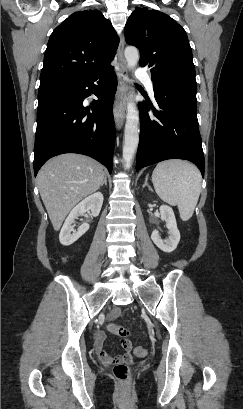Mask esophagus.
<instances>
[{
  "label": "esophagus",
  "mask_w": 243,
  "mask_h": 409,
  "mask_svg": "<svg viewBox=\"0 0 243 409\" xmlns=\"http://www.w3.org/2000/svg\"><path fill=\"white\" fill-rule=\"evenodd\" d=\"M124 45H125V40H124V37L122 36L118 49H117L119 71H118V87H117L115 101H114V120L118 128L122 126L125 120L124 97L128 90L127 68H126V61L123 55Z\"/></svg>",
  "instance_id": "34e87169"
}]
</instances>
